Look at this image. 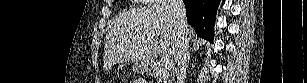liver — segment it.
I'll return each mask as SVG.
<instances>
[{
  "label": "liver",
  "instance_id": "6515ba94",
  "mask_svg": "<svg viewBox=\"0 0 307 83\" xmlns=\"http://www.w3.org/2000/svg\"><path fill=\"white\" fill-rule=\"evenodd\" d=\"M188 37L193 30L188 27ZM179 45L178 21L168 5L131 10L115 18L104 47L106 69L118 62H135L145 70L160 55L176 60Z\"/></svg>",
  "mask_w": 307,
  "mask_h": 83
}]
</instances>
